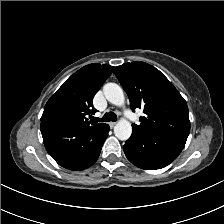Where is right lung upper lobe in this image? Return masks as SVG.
Segmentation results:
<instances>
[{
  "instance_id": "right-lung-upper-lobe-1",
  "label": "right lung upper lobe",
  "mask_w": 224,
  "mask_h": 224,
  "mask_svg": "<svg viewBox=\"0 0 224 224\" xmlns=\"http://www.w3.org/2000/svg\"><path fill=\"white\" fill-rule=\"evenodd\" d=\"M108 64H89L71 75L48 100L41 121L54 120L72 127L94 128L104 123H91L86 115L94 114L92 99L111 75Z\"/></svg>"
}]
</instances>
